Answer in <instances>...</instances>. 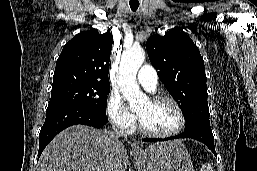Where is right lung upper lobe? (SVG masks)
<instances>
[{
    "mask_svg": "<svg viewBox=\"0 0 257 171\" xmlns=\"http://www.w3.org/2000/svg\"><path fill=\"white\" fill-rule=\"evenodd\" d=\"M109 33L97 29L80 32L64 46L53 76L52 89L76 83H108L110 51Z\"/></svg>",
    "mask_w": 257,
    "mask_h": 171,
    "instance_id": "obj_1",
    "label": "right lung upper lobe"
}]
</instances>
